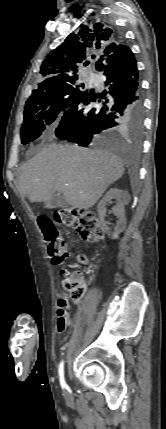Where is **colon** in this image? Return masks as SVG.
I'll return each mask as SVG.
<instances>
[{
    "instance_id": "obj_1",
    "label": "colon",
    "mask_w": 166,
    "mask_h": 429,
    "mask_svg": "<svg viewBox=\"0 0 166 429\" xmlns=\"http://www.w3.org/2000/svg\"><path fill=\"white\" fill-rule=\"evenodd\" d=\"M43 232L48 253L55 264L62 263L68 256L66 243L61 238L56 224L75 229L82 239L88 242H97L103 239V231L96 215L86 209L62 208L58 210L54 219L42 216L38 219ZM84 261V258L81 257ZM63 288L74 301H79L85 294V286L77 273L69 274L63 282Z\"/></svg>"
}]
</instances>
